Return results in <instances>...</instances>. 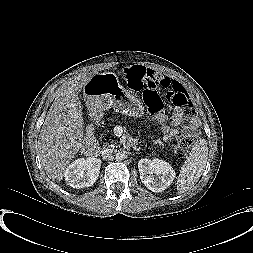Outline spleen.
Masks as SVG:
<instances>
[{"instance_id": "spleen-1", "label": "spleen", "mask_w": 253, "mask_h": 253, "mask_svg": "<svg viewBox=\"0 0 253 253\" xmlns=\"http://www.w3.org/2000/svg\"><path fill=\"white\" fill-rule=\"evenodd\" d=\"M208 158V147L206 140L202 139L194 144L190 156L181 167L177 180L178 193H184L201 177Z\"/></svg>"}]
</instances>
